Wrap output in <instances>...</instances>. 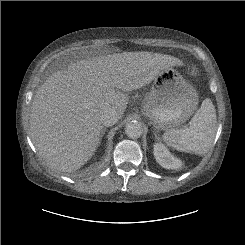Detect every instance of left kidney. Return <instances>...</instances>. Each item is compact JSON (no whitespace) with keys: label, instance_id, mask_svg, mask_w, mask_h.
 I'll return each instance as SVG.
<instances>
[{"label":"left kidney","instance_id":"5707ae66","mask_svg":"<svg viewBox=\"0 0 245 245\" xmlns=\"http://www.w3.org/2000/svg\"><path fill=\"white\" fill-rule=\"evenodd\" d=\"M154 157L156 161L166 169H177L182 165L181 160L174 157L162 143L154 145Z\"/></svg>","mask_w":245,"mask_h":245}]
</instances>
